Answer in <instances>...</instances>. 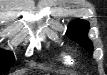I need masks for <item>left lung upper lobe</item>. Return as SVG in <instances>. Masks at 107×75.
<instances>
[{
  "mask_svg": "<svg viewBox=\"0 0 107 75\" xmlns=\"http://www.w3.org/2000/svg\"><path fill=\"white\" fill-rule=\"evenodd\" d=\"M88 30H89L88 22L82 19H76L72 21L71 24L68 26L66 35L73 41L82 45L92 54L93 46L92 42L87 37Z\"/></svg>",
  "mask_w": 107,
  "mask_h": 75,
  "instance_id": "obj_1",
  "label": "left lung upper lobe"
}]
</instances>
